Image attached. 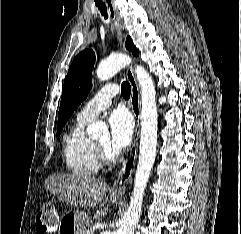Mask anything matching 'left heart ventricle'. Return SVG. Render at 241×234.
Here are the masks:
<instances>
[{
	"label": "left heart ventricle",
	"mask_w": 241,
	"mask_h": 234,
	"mask_svg": "<svg viewBox=\"0 0 241 234\" xmlns=\"http://www.w3.org/2000/svg\"><path fill=\"white\" fill-rule=\"evenodd\" d=\"M97 143L101 144L102 146L106 147L110 152H112V150L110 149V146H109V137L107 135L102 137V138H100L97 141Z\"/></svg>",
	"instance_id": "left-heart-ventricle-1"
}]
</instances>
